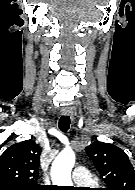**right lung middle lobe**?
<instances>
[{
    "instance_id": "right-lung-middle-lobe-1",
    "label": "right lung middle lobe",
    "mask_w": 135,
    "mask_h": 190,
    "mask_svg": "<svg viewBox=\"0 0 135 190\" xmlns=\"http://www.w3.org/2000/svg\"><path fill=\"white\" fill-rule=\"evenodd\" d=\"M40 188L36 189V190H39ZM3 190H14L12 188H3Z\"/></svg>"
}]
</instances>
